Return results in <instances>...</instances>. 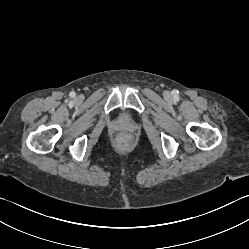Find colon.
Returning a JSON list of instances; mask_svg holds the SVG:
<instances>
[{
	"label": "colon",
	"instance_id": "obj_1",
	"mask_svg": "<svg viewBox=\"0 0 249 249\" xmlns=\"http://www.w3.org/2000/svg\"><path fill=\"white\" fill-rule=\"evenodd\" d=\"M121 142H130V138L127 136H124L121 138Z\"/></svg>",
	"mask_w": 249,
	"mask_h": 249
}]
</instances>
